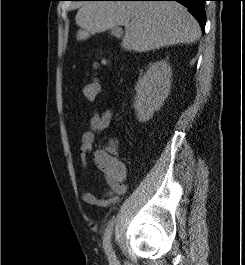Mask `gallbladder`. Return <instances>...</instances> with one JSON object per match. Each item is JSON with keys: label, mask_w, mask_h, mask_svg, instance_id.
<instances>
[{"label": "gallbladder", "mask_w": 245, "mask_h": 265, "mask_svg": "<svg viewBox=\"0 0 245 265\" xmlns=\"http://www.w3.org/2000/svg\"><path fill=\"white\" fill-rule=\"evenodd\" d=\"M109 31L114 37H119L122 35V29L120 27H113Z\"/></svg>", "instance_id": "bac80fb5"}]
</instances>
